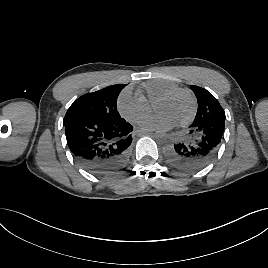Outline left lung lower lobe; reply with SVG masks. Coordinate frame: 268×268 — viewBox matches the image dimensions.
Wrapping results in <instances>:
<instances>
[{
	"instance_id": "obj_1",
	"label": "left lung lower lobe",
	"mask_w": 268,
	"mask_h": 268,
	"mask_svg": "<svg viewBox=\"0 0 268 268\" xmlns=\"http://www.w3.org/2000/svg\"><path fill=\"white\" fill-rule=\"evenodd\" d=\"M225 121L215 120L192 128L189 138L167 148V160L185 172L198 171L207 166L217 155L223 140Z\"/></svg>"
}]
</instances>
